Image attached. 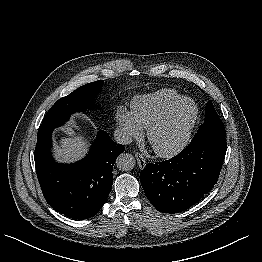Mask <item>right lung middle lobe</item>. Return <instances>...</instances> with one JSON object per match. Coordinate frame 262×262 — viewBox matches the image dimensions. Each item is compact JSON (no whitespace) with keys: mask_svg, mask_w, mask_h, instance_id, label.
I'll use <instances>...</instances> for the list:
<instances>
[{"mask_svg":"<svg viewBox=\"0 0 262 262\" xmlns=\"http://www.w3.org/2000/svg\"><path fill=\"white\" fill-rule=\"evenodd\" d=\"M102 86L103 80L91 82L59 99L45 115L42 124L64 123L72 113L93 107L92 97L101 90Z\"/></svg>","mask_w":262,"mask_h":262,"instance_id":"1","label":"right lung middle lobe"}]
</instances>
